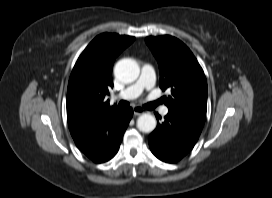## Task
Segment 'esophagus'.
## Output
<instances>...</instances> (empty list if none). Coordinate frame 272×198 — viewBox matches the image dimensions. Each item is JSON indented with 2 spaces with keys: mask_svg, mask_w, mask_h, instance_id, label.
Instances as JSON below:
<instances>
[{
  "mask_svg": "<svg viewBox=\"0 0 272 198\" xmlns=\"http://www.w3.org/2000/svg\"><path fill=\"white\" fill-rule=\"evenodd\" d=\"M133 112L135 116H138L145 113L146 111L140 106H133Z\"/></svg>",
  "mask_w": 272,
  "mask_h": 198,
  "instance_id": "1",
  "label": "esophagus"
}]
</instances>
